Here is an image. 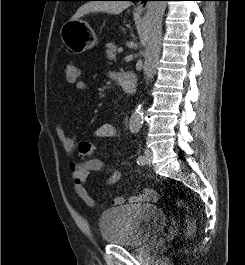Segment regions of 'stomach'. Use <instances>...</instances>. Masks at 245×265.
I'll return each mask as SVG.
<instances>
[{
    "instance_id": "obj_1",
    "label": "stomach",
    "mask_w": 245,
    "mask_h": 265,
    "mask_svg": "<svg viewBox=\"0 0 245 265\" xmlns=\"http://www.w3.org/2000/svg\"><path fill=\"white\" fill-rule=\"evenodd\" d=\"M65 46L74 54H81L97 44V36L90 25L83 20H69L60 29Z\"/></svg>"
}]
</instances>
